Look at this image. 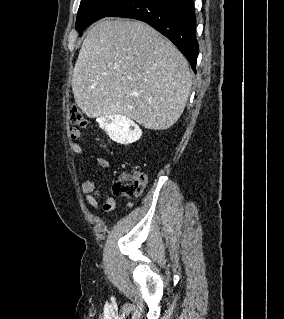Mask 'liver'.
<instances>
[{"label":"liver","instance_id":"1","mask_svg":"<svg viewBox=\"0 0 284 319\" xmlns=\"http://www.w3.org/2000/svg\"><path fill=\"white\" fill-rule=\"evenodd\" d=\"M191 86L183 54L146 23L124 19L90 29L72 76L75 102L88 117L122 115L151 130L180 118Z\"/></svg>","mask_w":284,"mask_h":319}]
</instances>
